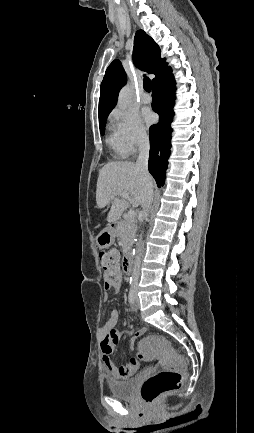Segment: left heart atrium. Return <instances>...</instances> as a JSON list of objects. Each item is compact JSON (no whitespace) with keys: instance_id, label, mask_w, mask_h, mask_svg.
Returning <instances> with one entry per match:
<instances>
[{"instance_id":"39dd6f15","label":"left heart atrium","mask_w":254,"mask_h":433,"mask_svg":"<svg viewBox=\"0 0 254 433\" xmlns=\"http://www.w3.org/2000/svg\"><path fill=\"white\" fill-rule=\"evenodd\" d=\"M145 122L149 125L154 122V115L151 112H144L143 114Z\"/></svg>"}]
</instances>
